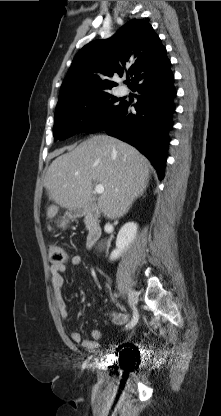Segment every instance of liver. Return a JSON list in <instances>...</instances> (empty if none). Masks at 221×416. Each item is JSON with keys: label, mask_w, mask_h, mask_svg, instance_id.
Instances as JSON below:
<instances>
[{"label": "liver", "mask_w": 221, "mask_h": 416, "mask_svg": "<svg viewBox=\"0 0 221 416\" xmlns=\"http://www.w3.org/2000/svg\"><path fill=\"white\" fill-rule=\"evenodd\" d=\"M150 163L136 148L111 136L95 135L49 166L44 187L49 199L67 209L92 201L93 182L103 185L98 208L108 219L126 214L134 200L146 190ZM47 208V218L56 216L59 206Z\"/></svg>", "instance_id": "obj_1"}]
</instances>
